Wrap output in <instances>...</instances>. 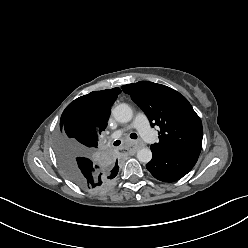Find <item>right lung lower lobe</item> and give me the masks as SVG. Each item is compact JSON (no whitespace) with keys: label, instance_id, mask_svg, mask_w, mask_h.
I'll list each match as a JSON object with an SVG mask.
<instances>
[{"label":"right lung lower lobe","instance_id":"obj_1","mask_svg":"<svg viewBox=\"0 0 248 248\" xmlns=\"http://www.w3.org/2000/svg\"><path fill=\"white\" fill-rule=\"evenodd\" d=\"M79 159H81V160H82V159H87V158H84V157H80Z\"/></svg>","mask_w":248,"mask_h":248}]
</instances>
